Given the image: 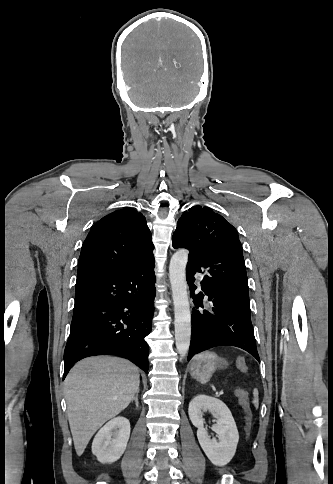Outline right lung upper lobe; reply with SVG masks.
Returning a JSON list of instances; mask_svg holds the SVG:
<instances>
[{"label":"right lung upper lobe","mask_w":333,"mask_h":484,"mask_svg":"<svg viewBox=\"0 0 333 484\" xmlns=\"http://www.w3.org/2000/svg\"><path fill=\"white\" fill-rule=\"evenodd\" d=\"M153 249L141 213L133 208L114 211L92 226L82 245L77 275L137 268L154 260Z\"/></svg>","instance_id":"obj_1"}]
</instances>
